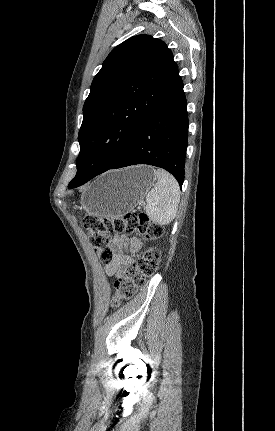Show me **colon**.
Masks as SVG:
<instances>
[{
    "label": "colon",
    "mask_w": 275,
    "mask_h": 431,
    "mask_svg": "<svg viewBox=\"0 0 275 431\" xmlns=\"http://www.w3.org/2000/svg\"><path fill=\"white\" fill-rule=\"evenodd\" d=\"M84 228L88 231L90 241L104 263L113 258L110 245L111 233L132 234L139 232L145 238L155 240L163 235V227L150 219L145 213H127L120 217H101L86 215L82 220ZM160 262L159 249L148 248L141 252L134 263L126 268L124 273L115 282L116 293L112 305L117 307L123 300L130 299L137 288L143 285L147 278L153 276L158 270Z\"/></svg>",
    "instance_id": "colon-1"
}]
</instances>
